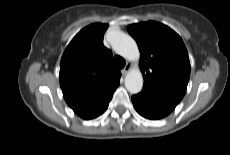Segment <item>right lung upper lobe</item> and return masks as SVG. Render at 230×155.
<instances>
[{
  "instance_id": "right-lung-upper-lobe-1",
  "label": "right lung upper lobe",
  "mask_w": 230,
  "mask_h": 155,
  "mask_svg": "<svg viewBox=\"0 0 230 155\" xmlns=\"http://www.w3.org/2000/svg\"><path fill=\"white\" fill-rule=\"evenodd\" d=\"M107 24L83 28L65 49L60 63V86L67 104L83 119L101 115L120 84L112 52L103 45Z\"/></svg>"
}]
</instances>
